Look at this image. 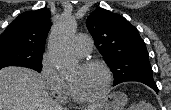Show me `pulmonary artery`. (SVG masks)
Wrapping results in <instances>:
<instances>
[{"mask_svg":"<svg viewBox=\"0 0 171 110\" xmlns=\"http://www.w3.org/2000/svg\"><path fill=\"white\" fill-rule=\"evenodd\" d=\"M93 42L90 37L86 35H77L73 40L74 52L77 56H85L90 53Z\"/></svg>","mask_w":171,"mask_h":110,"instance_id":"1","label":"pulmonary artery"}]
</instances>
